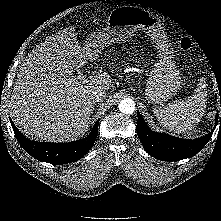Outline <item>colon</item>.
I'll return each instance as SVG.
<instances>
[{
  "label": "colon",
  "mask_w": 221,
  "mask_h": 221,
  "mask_svg": "<svg viewBox=\"0 0 221 221\" xmlns=\"http://www.w3.org/2000/svg\"><path fill=\"white\" fill-rule=\"evenodd\" d=\"M179 46L181 50L188 51L192 47V42L188 37H184L180 40Z\"/></svg>",
  "instance_id": "colon-1"
}]
</instances>
